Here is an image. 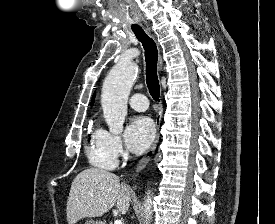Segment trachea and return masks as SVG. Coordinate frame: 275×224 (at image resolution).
<instances>
[{
    "label": "trachea",
    "mask_w": 275,
    "mask_h": 224,
    "mask_svg": "<svg viewBox=\"0 0 275 224\" xmlns=\"http://www.w3.org/2000/svg\"><path fill=\"white\" fill-rule=\"evenodd\" d=\"M132 30L145 50L146 82L149 93L155 101H158L160 97V85L157 76L158 50L156 43L141 29V27L135 25L132 26Z\"/></svg>",
    "instance_id": "trachea-1"
}]
</instances>
